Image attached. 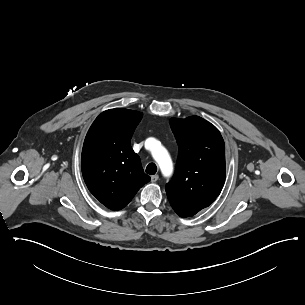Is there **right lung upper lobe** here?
<instances>
[{
  "label": "right lung upper lobe",
  "instance_id": "obj_1",
  "mask_svg": "<svg viewBox=\"0 0 305 305\" xmlns=\"http://www.w3.org/2000/svg\"><path fill=\"white\" fill-rule=\"evenodd\" d=\"M142 113L110 109L91 125L82 149L81 168L90 192L107 208L120 210L150 177L130 140Z\"/></svg>",
  "mask_w": 305,
  "mask_h": 305
}]
</instances>
